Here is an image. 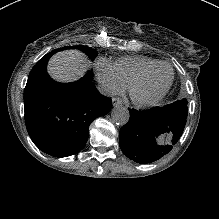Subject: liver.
Instances as JSON below:
<instances>
[{"label":"liver","instance_id":"obj_1","mask_svg":"<svg viewBox=\"0 0 219 219\" xmlns=\"http://www.w3.org/2000/svg\"><path fill=\"white\" fill-rule=\"evenodd\" d=\"M88 65V60L83 53L59 52L50 59L48 73L59 82H72L85 74Z\"/></svg>","mask_w":219,"mask_h":219}]
</instances>
